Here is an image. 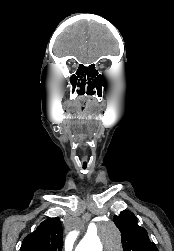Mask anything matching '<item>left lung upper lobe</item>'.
Wrapping results in <instances>:
<instances>
[{
    "label": "left lung upper lobe",
    "instance_id": "5c2ea615",
    "mask_svg": "<svg viewBox=\"0 0 174 251\" xmlns=\"http://www.w3.org/2000/svg\"><path fill=\"white\" fill-rule=\"evenodd\" d=\"M113 220L121 232L124 251H158L147 231L137 224V218L132 212L124 210L120 215H115Z\"/></svg>",
    "mask_w": 174,
    "mask_h": 251
}]
</instances>
